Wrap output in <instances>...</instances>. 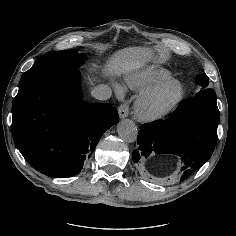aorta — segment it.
<instances>
[{"mask_svg":"<svg viewBox=\"0 0 236 236\" xmlns=\"http://www.w3.org/2000/svg\"><path fill=\"white\" fill-rule=\"evenodd\" d=\"M117 132L125 142L131 143L137 140V127L135 123L129 119H124L118 123Z\"/></svg>","mask_w":236,"mask_h":236,"instance_id":"aorta-1","label":"aorta"}]
</instances>
